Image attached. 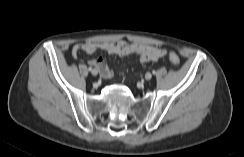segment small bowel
<instances>
[{"instance_id": "small-bowel-1", "label": "small bowel", "mask_w": 244, "mask_h": 157, "mask_svg": "<svg viewBox=\"0 0 244 157\" xmlns=\"http://www.w3.org/2000/svg\"><path fill=\"white\" fill-rule=\"evenodd\" d=\"M96 50H102L108 54L118 55L121 57L128 56L130 54L138 55L141 63L149 61H158L165 56V51L161 48L144 45L139 43H128L125 40H117L113 42H93L87 41L76 44L73 48V56L76 57L78 52L85 51L87 53H94ZM142 56L145 59H142ZM89 64L96 67L103 78H110L112 76V70L108 67L105 60L102 57H97L89 61Z\"/></svg>"}]
</instances>
